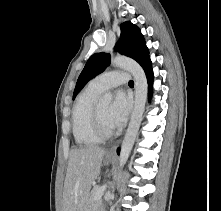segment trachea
Masks as SVG:
<instances>
[{
    "mask_svg": "<svg viewBox=\"0 0 221 211\" xmlns=\"http://www.w3.org/2000/svg\"><path fill=\"white\" fill-rule=\"evenodd\" d=\"M129 85H134V82L132 80H130Z\"/></svg>",
    "mask_w": 221,
    "mask_h": 211,
    "instance_id": "trachea-1",
    "label": "trachea"
}]
</instances>
